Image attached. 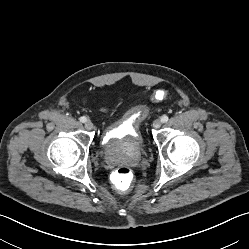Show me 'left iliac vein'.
Wrapping results in <instances>:
<instances>
[{"instance_id": "4c4485c4", "label": "left iliac vein", "mask_w": 249, "mask_h": 249, "mask_svg": "<svg viewBox=\"0 0 249 249\" xmlns=\"http://www.w3.org/2000/svg\"><path fill=\"white\" fill-rule=\"evenodd\" d=\"M161 124H162V122L159 119H156L153 121L152 126H153V128L158 129L161 127Z\"/></svg>"}]
</instances>
